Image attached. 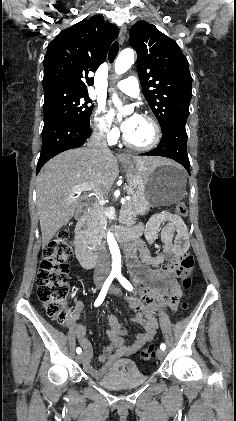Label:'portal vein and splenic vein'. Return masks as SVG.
<instances>
[{"instance_id": "18ae733b", "label": "portal vein and splenic vein", "mask_w": 236, "mask_h": 421, "mask_svg": "<svg viewBox=\"0 0 236 421\" xmlns=\"http://www.w3.org/2000/svg\"><path fill=\"white\" fill-rule=\"evenodd\" d=\"M73 190H78V192L79 190H93V186H91V184H88V182H86V184H76ZM96 194H100V192H96ZM97 198H100V196H97ZM125 200L126 198H121L122 204H125ZM100 202L101 204H103L104 198H100Z\"/></svg>"}]
</instances>
